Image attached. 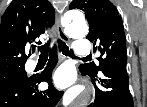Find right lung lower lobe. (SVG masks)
<instances>
[{"label":"right lung lower lobe","instance_id":"right-lung-lower-lobe-1","mask_svg":"<svg viewBox=\"0 0 147 107\" xmlns=\"http://www.w3.org/2000/svg\"><path fill=\"white\" fill-rule=\"evenodd\" d=\"M58 61L56 49L50 54L48 66L41 75L27 77L0 88V107H54L63 95L51 83V72ZM49 83L46 91H39L38 84Z\"/></svg>","mask_w":147,"mask_h":107}]
</instances>
